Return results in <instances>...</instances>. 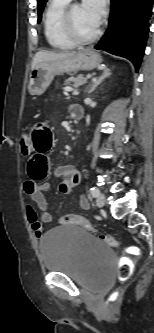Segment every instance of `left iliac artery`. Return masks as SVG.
<instances>
[{
    "label": "left iliac artery",
    "mask_w": 154,
    "mask_h": 333,
    "mask_svg": "<svg viewBox=\"0 0 154 333\" xmlns=\"http://www.w3.org/2000/svg\"><path fill=\"white\" fill-rule=\"evenodd\" d=\"M100 191L98 188L96 187H91L90 188V194L92 195V197H97L99 195Z\"/></svg>",
    "instance_id": "44dca946"
}]
</instances>
